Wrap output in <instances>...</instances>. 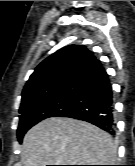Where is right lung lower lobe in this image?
I'll return each mask as SVG.
<instances>
[{
  "label": "right lung lower lobe",
  "mask_w": 135,
  "mask_h": 166,
  "mask_svg": "<svg viewBox=\"0 0 135 166\" xmlns=\"http://www.w3.org/2000/svg\"><path fill=\"white\" fill-rule=\"evenodd\" d=\"M69 86L72 99L55 116L87 121L114 135L113 91L104 68L101 66Z\"/></svg>",
  "instance_id": "98d812e1"
}]
</instances>
